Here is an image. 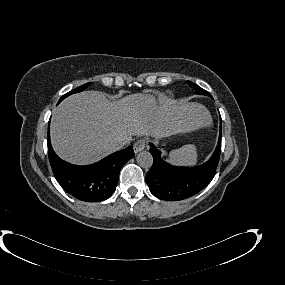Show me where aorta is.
Wrapping results in <instances>:
<instances>
[{
	"label": "aorta",
	"instance_id": "obj_1",
	"mask_svg": "<svg viewBox=\"0 0 285 285\" xmlns=\"http://www.w3.org/2000/svg\"><path fill=\"white\" fill-rule=\"evenodd\" d=\"M137 163L142 168H150L153 164V156L148 151H142L137 155Z\"/></svg>",
	"mask_w": 285,
	"mask_h": 285
}]
</instances>
